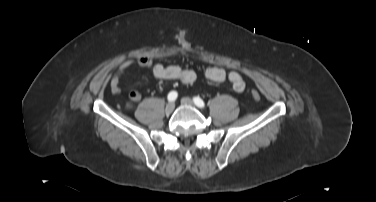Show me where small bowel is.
<instances>
[{
	"label": "small bowel",
	"mask_w": 376,
	"mask_h": 202,
	"mask_svg": "<svg viewBox=\"0 0 376 202\" xmlns=\"http://www.w3.org/2000/svg\"><path fill=\"white\" fill-rule=\"evenodd\" d=\"M134 66L149 69L155 78L161 80H176L183 84H191L197 78L196 72L192 69L183 68L178 65L166 66L158 63L155 64L151 58L139 56L135 60H126L120 64L110 80V90L112 94L118 95L121 93V75ZM204 77L216 83H222L229 80L233 90L237 93H242L245 90V83L238 73H227L226 70L220 66L208 67L204 71ZM141 98L142 95L138 91H131L129 93V99L131 102H139Z\"/></svg>",
	"instance_id": "obj_1"
}]
</instances>
